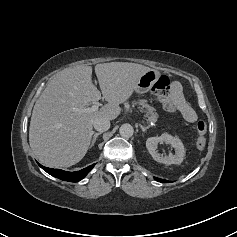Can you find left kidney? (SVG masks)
<instances>
[{"label": "left kidney", "instance_id": "5707ae66", "mask_svg": "<svg viewBox=\"0 0 237 237\" xmlns=\"http://www.w3.org/2000/svg\"><path fill=\"white\" fill-rule=\"evenodd\" d=\"M171 145L175 148V154H169L168 156H161L157 152V145L158 143H163ZM146 148L148 149L149 153L153 157V159L157 162L170 165V164H181L184 156H185V149L183 143L180 139L171 136L168 133H163L159 137H150L146 141Z\"/></svg>", "mask_w": 237, "mask_h": 237}]
</instances>
